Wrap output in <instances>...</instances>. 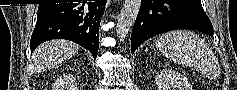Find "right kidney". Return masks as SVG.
Wrapping results in <instances>:
<instances>
[{
	"label": "right kidney",
	"mask_w": 237,
	"mask_h": 90,
	"mask_svg": "<svg viewBox=\"0 0 237 90\" xmlns=\"http://www.w3.org/2000/svg\"><path fill=\"white\" fill-rule=\"evenodd\" d=\"M72 82H75V78H73Z\"/></svg>",
	"instance_id": "1"
}]
</instances>
